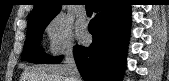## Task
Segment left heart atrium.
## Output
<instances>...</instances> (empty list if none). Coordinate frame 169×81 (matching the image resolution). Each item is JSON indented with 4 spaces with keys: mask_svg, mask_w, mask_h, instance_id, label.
I'll list each match as a JSON object with an SVG mask.
<instances>
[{
    "mask_svg": "<svg viewBox=\"0 0 169 81\" xmlns=\"http://www.w3.org/2000/svg\"><path fill=\"white\" fill-rule=\"evenodd\" d=\"M78 37L81 40H86L88 38L87 31H86V29H85V27L83 25L80 26L79 29H78Z\"/></svg>",
    "mask_w": 169,
    "mask_h": 81,
    "instance_id": "left-heart-atrium-1",
    "label": "left heart atrium"
}]
</instances>
